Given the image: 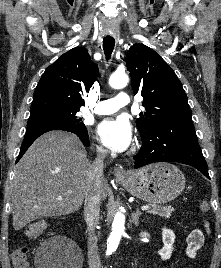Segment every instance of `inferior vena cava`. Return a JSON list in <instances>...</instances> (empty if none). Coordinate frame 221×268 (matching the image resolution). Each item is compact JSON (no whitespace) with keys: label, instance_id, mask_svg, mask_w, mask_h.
I'll return each instance as SVG.
<instances>
[{"label":"inferior vena cava","instance_id":"inferior-vena-cava-1","mask_svg":"<svg viewBox=\"0 0 221 268\" xmlns=\"http://www.w3.org/2000/svg\"><path fill=\"white\" fill-rule=\"evenodd\" d=\"M97 157L92 163L90 172V185L87 189L84 200V216L87 221L88 232V263L89 268H100V258L97 247V237L95 227L99 220L101 185L104 179L103 167L104 159L107 156V150L98 149Z\"/></svg>","mask_w":221,"mask_h":268}]
</instances>
